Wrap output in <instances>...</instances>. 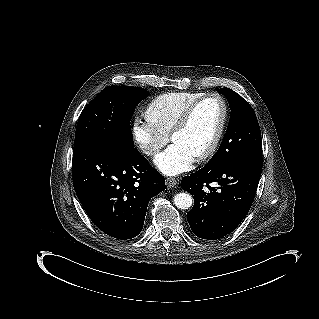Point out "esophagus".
<instances>
[{"label": "esophagus", "instance_id": "34e87169", "mask_svg": "<svg viewBox=\"0 0 319 319\" xmlns=\"http://www.w3.org/2000/svg\"><path fill=\"white\" fill-rule=\"evenodd\" d=\"M177 181L178 180L174 177H168L166 178V185L168 186V188H173L178 184Z\"/></svg>", "mask_w": 319, "mask_h": 319}]
</instances>
